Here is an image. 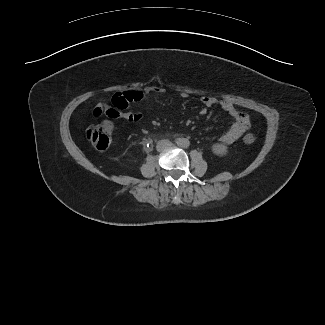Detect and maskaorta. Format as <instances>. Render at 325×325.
<instances>
[{"mask_svg":"<svg viewBox=\"0 0 325 325\" xmlns=\"http://www.w3.org/2000/svg\"><path fill=\"white\" fill-rule=\"evenodd\" d=\"M177 144L182 148H188L190 145V142L186 138H180V139H178Z\"/></svg>","mask_w":325,"mask_h":325,"instance_id":"obj_1","label":"aorta"}]
</instances>
